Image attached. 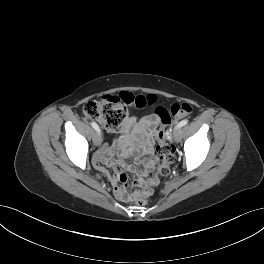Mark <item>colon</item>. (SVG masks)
Instances as JSON below:
<instances>
[{
    "label": "colon",
    "mask_w": 264,
    "mask_h": 264,
    "mask_svg": "<svg viewBox=\"0 0 264 264\" xmlns=\"http://www.w3.org/2000/svg\"><path fill=\"white\" fill-rule=\"evenodd\" d=\"M154 102L152 96L136 95L123 91L117 95H108L101 100L88 101L83 107V114L88 119L99 121L108 131H117L127 117L129 109H142ZM192 113V106L188 103L174 104L167 109L158 107L155 117L159 122L156 133L157 153L159 163L156 167V176L151 179L138 180V185H145V192L130 191L124 198H131L136 204L144 206L148 203V196L152 194L158 177H165L170 173V165L175 160V148L170 143L168 128L172 118H184Z\"/></svg>",
    "instance_id": "5ec220e1"
}]
</instances>
